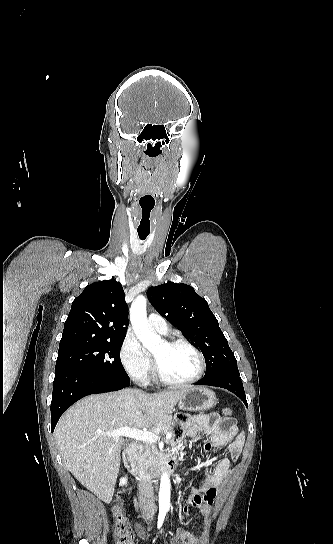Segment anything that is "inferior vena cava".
I'll return each instance as SVG.
<instances>
[{"label":"inferior vena cava","instance_id":"602c4592","mask_svg":"<svg viewBox=\"0 0 333 544\" xmlns=\"http://www.w3.org/2000/svg\"><path fill=\"white\" fill-rule=\"evenodd\" d=\"M138 489L143 515L149 518L153 517L156 511L154 491L152 483H150L149 476L144 467H141V469L139 470Z\"/></svg>","mask_w":333,"mask_h":544}]
</instances>
